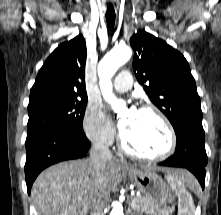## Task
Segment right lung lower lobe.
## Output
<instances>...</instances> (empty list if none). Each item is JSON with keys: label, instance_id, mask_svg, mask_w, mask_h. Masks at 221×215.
I'll use <instances>...</instances> for the list:
<instances>
[{"label": "right lung lower lobe", "instance_id": "right-lung-lower-lobe-1", "mask_svg": "<svg viewBox=\"0 0 221 215\" xmlns=\"http://www.w3.org/2000/svg\"><path fill=\"white\" fill-rule=\"evenodd\" d=\"M25 146V178L30 194L32 184L42 170L64 160L82 158L91 143L83 131L51 129L28 136Z\"/></svg>", "mask_w": 221, "mask_h": 215}]
</instances>
